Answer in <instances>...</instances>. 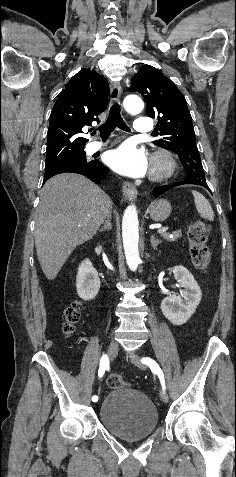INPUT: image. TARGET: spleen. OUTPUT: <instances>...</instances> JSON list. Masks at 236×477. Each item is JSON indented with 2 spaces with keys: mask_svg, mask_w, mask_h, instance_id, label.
I'll list each match as a JSON object with an SVG mask.
<instances>
[{
  "mask_svg": "<svg viewBox=\"0 0 236 477\" xmlns=\"http://www.w3.org/2000/svg\"><path fill=\"white\" fill-rule=\"evenodd\" d=\"M194 196V203L196 209L200 216L204 219H208L209 221L214 220V211L209 203V201L199 192L192 191Z\"/></svg>",
  "mask_w": 236,
  "mask_h": 477,
  "instance_id": "3e777b00",
  "label": "spleen"
}]
</instances>
